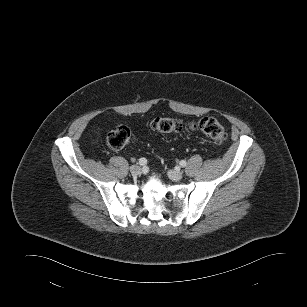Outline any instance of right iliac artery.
I'll return each instance as SVG.
<instances>
[{
  "label": "right iliac artery",
  "mask_w": 307,
  "mask_h": 307,
  "mask_svg": "<svg viewBox=\"0 0 307 307\" xmlns=\"http://www.w3.org/2000/svg\"><path fill=\"white\" fill-rule=\"evenodd\" d=\"M139 164H140L141 166H145V165L147 164V160H146L145 158H140V159H139Z\"/></svg>",
  "instance_id": "82829eb1"
}]
</instances>
